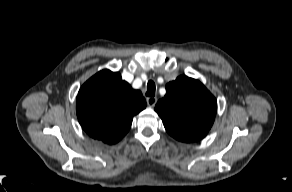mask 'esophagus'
Segmentation results:
<instances>
[{
	"instance_id": "esophagus-1",
	"label": "esophagus",
	"mask_w": 292,
	"mask_h": 192,
	"mask_svg": "<svg viewBox=\"0 0 292 192\" xmlns=\"http://www.w3.org/2000/svg\"><path fill=\"white\" fill-rule=\"evenodd\" d=\"M148 106L153 107L157 103V98L156 97H148L146 99Z\"/></svg>"
}]
</instances>
